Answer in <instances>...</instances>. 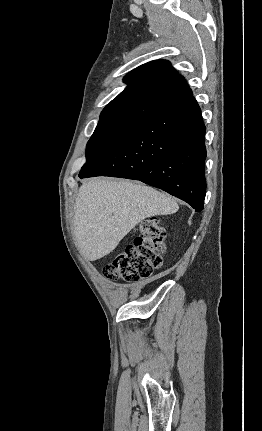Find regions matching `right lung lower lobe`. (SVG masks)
Instances as JSON below:
<instances>
[{
  "label": "right lung lower lobe",
  "instance_id": "obj_1",
  "mask_svg": "<svg viewBox=\"0 0 262 431\" xmlns=\"http://www.w3.org/2000/svg\"><path fill=\"white\" fill-rule=\"evenodd\" d=\"M204 136L201 110L192 97L133 125L79 177L140 180L202 211L206 194Z\"/></svg>",
  "mask_w": 262,
  "mask_h": 431
}]
</instances>
